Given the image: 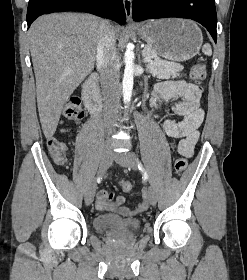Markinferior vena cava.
I'll return each mask as SVG.
<instances>
[{"mask_svg": "<svg viewBox=\"0 0 247 280\" xmlns=\"http://www.w3.org/2000/svg\"><path fill=\"white\" fill-rule=\"evenodd\" d=\"M115 43L114 27L108 21H102L99 26L96 62L103 83L104 106L109 114L118 112L120 101L119 69ZM114 124L115 119L110 117L109 130H112Z\"/></svg>", "mask_w": 247, "mask_h": 280, "instance_id": "1", "label": "inferior vena cava"}]
</instances>
